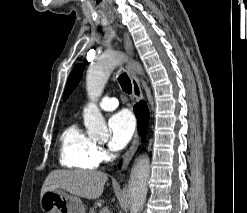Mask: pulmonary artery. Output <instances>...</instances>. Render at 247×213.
Listing matches in <instances>:
<instances>
[{
    "label": "pulmonary artery",
    "mask_w": 247,
    "mask_h": 213,
    "mask_svg": "<svg viewBox=\"0 0 247 213\" xmlns=\"http://www.w3.org/2000/svg\"><path fill=\"white\" fill-rule=\"evenodd\" d=\"M119 105L118 99L115 97L105 96L100 102L99 107L102 110L110 111L117 108Z\"/></svg>",
    "instance_id": "obj_1"
}]
</instances>
